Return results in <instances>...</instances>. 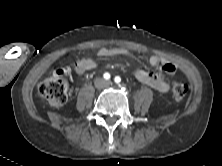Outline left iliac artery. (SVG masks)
<instances>
[{"mask_svg":"<svg viewBox=\"0 0 222 166\" xmlns=\"http://www.w3.org/2000/svg\"><path fill=\"white\" fill-rule=\"evenodd\" d=\"M114 81H115L116 83H120L121 78H120L119 76H116V77L114 78Z\"/></svg>","mask_w":222,"mask_h":166,"instance_id":"left-iliac-artery-1","label":"left iliac artery"}]
</instances>
